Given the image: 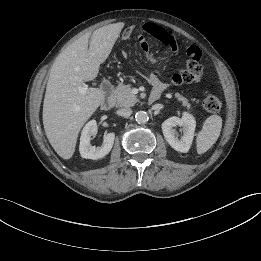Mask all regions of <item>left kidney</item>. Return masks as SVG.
Returning <instances> with one entry per match:
<instances>
[{"label": "left kidney", "instance_id": "obj_1", "mask_svg": "<svg viewBox=\"0 0 261 261\" xmlns=\"http://www.w3.org/2000/svg\"><path fill=\"white\" fill-rule=\"evenodd\" d=\"M180 126L183 135L179 139L175 127ZM196 121L194 117L184 112L181 118L173 116L162 123V132L169 145L176 151L187 153L191 147Z\"/></svg>", "mask_w": 261, "mask_h": 261}]
</instances>
